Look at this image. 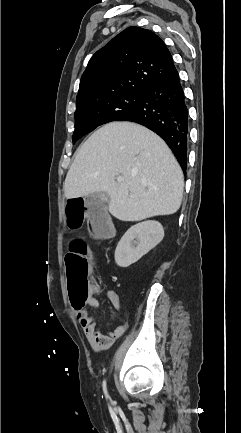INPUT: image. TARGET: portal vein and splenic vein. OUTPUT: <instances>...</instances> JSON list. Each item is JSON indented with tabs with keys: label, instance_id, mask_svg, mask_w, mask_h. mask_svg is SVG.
<instances>
[{
	"label": "portal vein and splenic vein",
	"instance_id": "1",
	"mask_svg": "<svg viewBox=\"0 0 241 433\" xmlns=\"http://www.w3.org/2000/svg\"><path fill=\"white\" fill-rule=\"evenodd\" d=\"M123 181V178L122 177H117V182H122Z\"/></svg>",
	"mask_w": 241,
	"mask_h": 433
}]
</instances>
